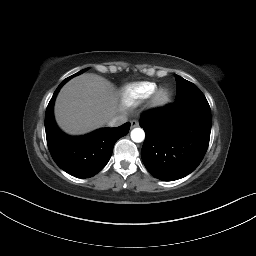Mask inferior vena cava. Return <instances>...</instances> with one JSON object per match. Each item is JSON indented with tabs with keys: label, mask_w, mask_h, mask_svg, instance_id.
Segmentation results:
<instances>
[{
	"label": "inferior vena cava",
	"mask_w": 256,
	"mask_h": 256,
	"mask_svg": "<svg viewBox=\"0 0 256 256\" xmlns=\"http://www.w3.org/2000/svg\"><path fill=\"white\" fill-rule=\"evenodd\" d=\"M125 122H127L126 115H118V116L113 117L108 122V126L109 127H117V126H120V125L124 124Z\"/></svg>",
	"instance_id": "obj_1"
}]
</instances>
